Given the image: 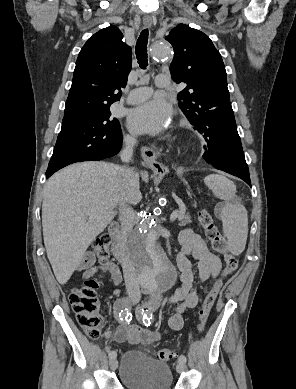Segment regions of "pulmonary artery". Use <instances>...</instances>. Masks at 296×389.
<instances>
[{"instance_id":"pulmonary-artery-1","label":"pulmonary artery","mask_w":296,"mask_h":389,"mask_svg":"<svg viewBox=\"0 0 296 389\" xmlns=\"http://www.w3.org/2000/svg\"><path fill=\"white\" fill-rule=\"evenodd\" d=\"M156 86L159 88H165L169 85V78L166 75H158L155 80ZM152 94V89L149 87H138L133 89L128 97L127 102L130 104H135L142 102L149 98Z\"/></svg>"}]
</instances>
